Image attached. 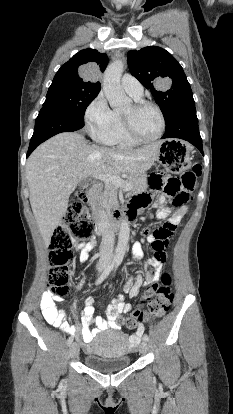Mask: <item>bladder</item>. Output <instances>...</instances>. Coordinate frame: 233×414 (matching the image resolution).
<instances>
[{
	"label": "bladder",
	"mask_w": 233,
	"mask_h": 414,
	"mask_svg": "<svg viewBox=\"0 0 233 414\" xmlns=\"http://www.w3.org/2000/svg\"><path fill=\"white\" fill-rule=\"evenodd\" d=\"M128 337L118 329L102 332L94 341L85 365L98 372L108 373L127 368L131 363Z\"/></svg>",
	"instance_id": "bladder-1"
}]
</instances>
